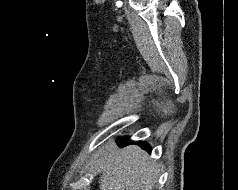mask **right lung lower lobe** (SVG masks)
Returning a JSON list of instances; mask_svg holds the SVG:
<instances>
[{
    "label": "right lung lower lobe",
    "mask_w": 238,
    "mask_h": 190,
    "mask_svg": "<svg viewBox=\"0 0 238 190\" xmlns=\"http://www.w3.org/2000/svg\"><path fill=\"white\" fill-rule=\"evenodd\" d=\"M130 143H132V142L129 140V138H123L119 142V146H125V145L130 144ZM139 143L144 149H146L148 151L151 150L150 147L145 142H139Z\"/></svg>",
    "instance_id": "right-lung-lower-lobe-1"
}]
</instances>
